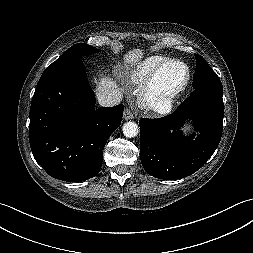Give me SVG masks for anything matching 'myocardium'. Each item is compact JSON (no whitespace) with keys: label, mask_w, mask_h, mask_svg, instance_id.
<instances>
[{"label":"myocardium","mask_w":253,"mask_h":253,"mask_svg":"<svg viewBox=\"0 0 253 253\" xmlns=\"http://www.w3.org/2000/svg\"><path fill=\"white\" fill-rule=\"evenodd\" d=\"M168 65H179L185 70L183 80L174 86H160L157 81L163 69ZM191 81V69L187 63L179 59H167L157 66L145 80L141 92L140 101L150 111L167 114L175 101L187 90Z\"/></svg>","instance_id":"obj_1"}]
</instances>
